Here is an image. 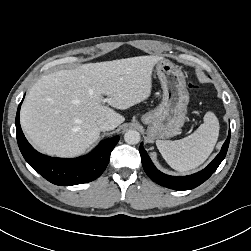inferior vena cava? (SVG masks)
Returning a JSON list of instances; mask_svg holds the SVG:
<instances>
[{"mask_svg": "<svg viewBox=\"0 0 251 251\" xmlns=\"http://www.w3.org/2000/svg\"><path fill=\"white\" fill-rule=\"evenodd\" d=\"M97 125L101 131L113 130L116 125L111 121L105 118H100L97 120Z\"/></svg>", "mask_w": 251, "mask_h": 251, "instance_id": "inferior-vena-cava-1", "label": "inferior vena cava"}]
</instances>
